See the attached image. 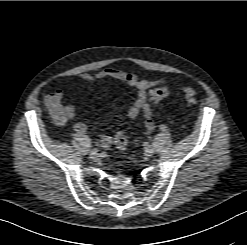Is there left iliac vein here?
Segmentation results:
<instances>
[{
    "instance_id": "obj_1",
    "label": "left iliac vein",
    "mask_w": 247,
    "mask_h": 245,
    "mask_svg": "<svg viewBox=\"0 0 247 245\" xmlns=\"http://www.w3.org/2000/svg\"><path fill=\"white\" fill-rule=\"evenodd\" d=\"M144 154L147 157H151L154 154V147L153 146L146 147Z\"/></svg>"
}]
</instances>
